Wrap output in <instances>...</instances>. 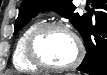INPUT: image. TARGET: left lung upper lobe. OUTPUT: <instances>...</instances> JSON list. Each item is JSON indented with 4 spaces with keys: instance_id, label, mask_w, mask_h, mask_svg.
I'll return each instance as SVG.
<instances>
[{
    "instance_id": "1",
    "label": "left lung upper lobe",
    "mask_w": 107,
    "mask_h": 75,
    "mask_svg": "<svg viewBox=\"0 0 107 75\" xmlns=\"http://www.w3.org/2000/svg\"><path fill=\"white\" fill-rule=\"evenodd\" d=\"M53 10L65 18H69L74 27L81 33L89 21L88 14L74 13L72 0H23L18 18L15 23L14 34L34 18L40 11Z\"/></svg>"
}]
</instances>
